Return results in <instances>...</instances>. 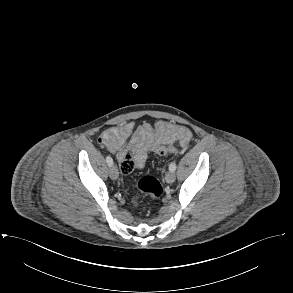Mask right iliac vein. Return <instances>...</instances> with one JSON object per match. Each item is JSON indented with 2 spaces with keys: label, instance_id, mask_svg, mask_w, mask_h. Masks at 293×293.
<instances>
[{
  "label": "right iliac vein",
  "instance_id": "right-iliac-vein-1",
  "mask_svg": "<svg viewBox=\"0 0 293 293\" xmlns=\"http://www.w3.org/2000/svg\"><path fill=\"white\" fill-rule=\"evenodd\" d=\"M109 175H110V178L113 180H116L118 178L119 172H118V169L115 165L110 166Z\"/></svg>",
  "mask_w": 293,
  "mask_h": 293
}]
</instances>
